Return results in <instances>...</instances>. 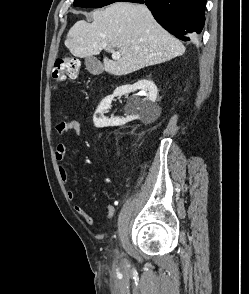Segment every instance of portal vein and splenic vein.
<instances>
[{
    "instance_id": "portal-vein-and-splenic-vein-1",
    "label": "portal vein and splenic vein",
    "mask_w": 249,
    "mask_h": 294,
    "mask_svg": "<svg viewBox=\"0 0 249 294\" xmlns=\"http://www.w3.org/2000/svg\"><path fill=\"white\" fill-rule=\"evenodd\" d=\"M121 58V54L119 51L112 50V59L117 60Z\"/></svg>"
}]
</instances>
